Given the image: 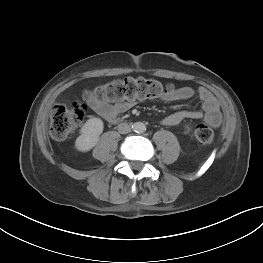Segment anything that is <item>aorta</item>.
Masks as SVG:
<instances>
[{
  "label": "aorta",
  "instance_id": "762f6f07",
  "mask_svg": "<svg viewBox=\"0 0 263 263\" xmlns=\"http://www.w3.org/2000/svg\"><path fill=\"white\" fill-rule=\"evenodd\" d=\"M133 129L135 132L143 133L146 131V125L143 122H136Z\"/></svg>",
  "mask_w": 263,
  "mask_h": 263
}]
</instances>
